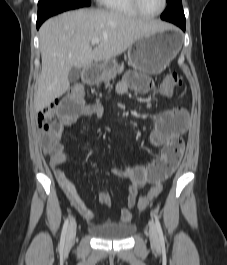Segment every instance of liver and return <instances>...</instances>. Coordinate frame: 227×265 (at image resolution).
Here are the masks:
<instances>
[{"instance_id": "1", "label": "liver", "mask_w": 227, "mask_h": 265, "mask_svg": "<svg viewBox=\"0 0 227 265\" xmlns=\"http://www.w3.org/2000/svg\"><path fill=\"white\" fill-rule=\"evenodd\" d=\"M166 28L117 11L93 9L69 11L48 19L39 31L42 70L34 98L35 111H42L69 89L72 67L111 61L139 38ZM93 38L100 39L94 49Z\"/></svg>"}]
</instances>
